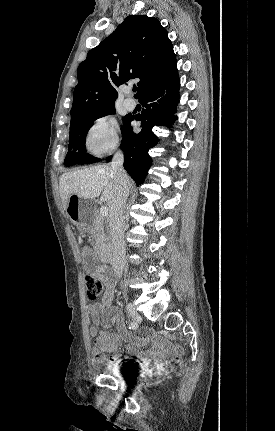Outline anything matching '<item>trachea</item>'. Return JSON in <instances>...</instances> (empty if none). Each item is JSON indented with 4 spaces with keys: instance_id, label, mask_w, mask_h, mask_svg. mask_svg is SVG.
Segmentation results:
<instances>
[{
    "instance_id": "obj_1",
    "label": "trachea",
    "mask_w": 275,
    "mask_h": 431,
    "mask_svg": "<svg viewBox=\"0 0 275 431\" xmlns=\"http://www.w3.org/2000/svg\"><path fill=\"white\" fill-rule=\"evenodd\" d=\"M136 90H137V87H134V88H133V91H136Z\"/></svg>"
}]
</instances>
